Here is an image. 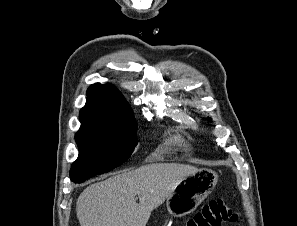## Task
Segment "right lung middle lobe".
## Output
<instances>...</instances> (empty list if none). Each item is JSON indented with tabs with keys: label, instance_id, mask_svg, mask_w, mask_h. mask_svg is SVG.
I'll return each mask as SVG.
<instances>
[{
	"label": "right lung middle lobe",
	"instance_id": "obj_1",
	"mask_svg": "<svg viewBox=\"0 0 297 226\" xmlns=\"http://www.w3.org/2000/svg\"><path fill=\"white\" fill-rule=\"evenodd\" d=\"M79 155L72 164L70 179L81 183L125 162L136 147L137 123L126 110L116 126H84L75 135Z\"/></svg>",
	"mask_w": 297,
	"mask_h": 226
}]
</instances>
